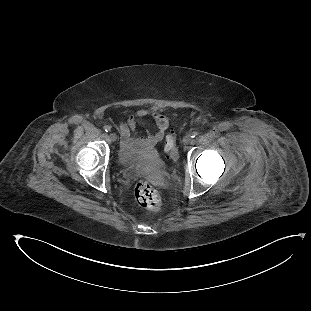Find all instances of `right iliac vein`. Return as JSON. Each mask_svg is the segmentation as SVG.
Here are the masks:
<instances>
[{"mask_svg":"<svg viewBox=\"0 0 311 311\" xmlns=\"http://www.w3.org/2000/svg\"><path fill=\"white\" fill-rule=\"evenodd\" d=\"M109 138H110V140H111L112 142H114V141H116V139H117V135H116L115 133L111 132V133L109 134Z\"/></svg>","mask_w":311,"mask_h":311,"instance_id":"63e3f726","label":"right iliac vein"}]
</instances>
